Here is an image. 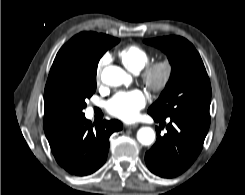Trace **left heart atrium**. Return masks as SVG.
Segmentation results:
<instances>
[{"instance_id": "left-heart-atrium-1", "label": "left heart atrium", "mask_w": 245, "mask_h": 195, "mask_svg": "<svg viewBox=\"0 0 245 195\" xmlns=\"http://www.w3.org/2000/svg\"><path fill=\"white\" fill-rule=\"evenodd\" d=\"M146 105L145 94L138 89L116 93L106 103V110L112 116L123 121H134Z\"/></svg>"}]
</instances>
